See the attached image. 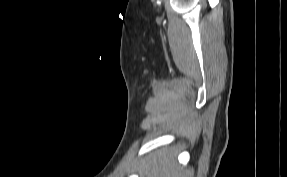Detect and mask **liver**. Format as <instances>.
Instances as JSON below:
<instances>
[{"label":"liver","mask_w":287,"mask_h":177,"mask_svg":"<svg viewBox=\"0 0 287 177\" xmlns=\"http://www.w3.org/2000/svg\"><path fill=\"white\" fill-rule=\"evenodd\" d=\"M177 154V148L158 150L143 170L145 177H189L184 168L176 163Z\"/></svg>","instance_id":"liver-1"}]
</instances>
